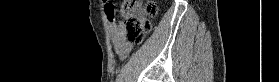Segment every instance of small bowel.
Instances as JSON below:
<instances>
[{
    "mask_svg": "<svg viewBox=\"0 0 279 82\" xmlns=\"http://www.w3.org/2000/svg\"><path fill=\"white\" fill-rule=\"evenodd\" d=\"M105 7L107 26L112 45L116 53L119 55H124V52L128 49H131V47L125 41V34L121 27V23H117L116 21L114 8L108 5Z\"/></svg>",
    "mask_w": 279,
    "mask_h": 82,
    "instance_id": "1",
    "label": "small bowel"
}]
</instances>
